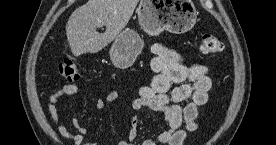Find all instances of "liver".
<instances>
[{
    "label": "liver",
    "mask_w": 276,
    "mask_h": 145,
    "mask_svg": "<svg viewBox=\"0 0 276 145\" xmlns=\"http://www.w3.org/2000/svg\"><path fill=\"white\" fill-rule=\"evenodd\" d=\"M139 0H88L68 19L66 35L74 56L97 53L112 42L129 22ZM105 26L104 33L97 31Z\"/></svg>",
    "instance_id": "6515ba94"
}]
</instances>
